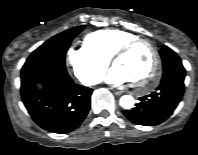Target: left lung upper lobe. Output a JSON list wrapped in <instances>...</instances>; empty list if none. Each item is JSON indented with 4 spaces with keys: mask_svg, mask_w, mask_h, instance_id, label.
I'll return each mask as SVG.
<instances>
[{
    "mask_svg": "<svg viewBox=\"0 0 198 155\" xmlns=\"http://www.w3.org/2000/svg\"><path fill=\"white\" fill-rule=\"evenodd\" d=\"M159 52L163 63V75L175 69H184L181 59L169 47L163 46ZM143 115L145 117L149 116V114Z\"/></svg>",
    "mask_w": 198,
    "mask_h": 155,
    "instance_id": "1",
    "label": "left lung upper lobe"
}]
</instances>
